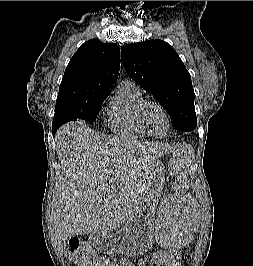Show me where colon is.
<instances>
[{
  "instance_id": "5ec220e1",
  "label": "colon",
  "mask_w": 253,
  "mask_h": 266,
  "mask_svg": "<svg viewBox=\"0 0 253 266\" xmlns=\"http://www.w3.org/2000/svg\"><path fill=\"white\" fill-rule=\"evenodd\" d=\"M69 260L77 266H121L118 263L98 255L85 241L72 238L66 251ZM147 262L141 266H146ZM148 266H181L180 255L174 251L156 252L150 259Z\"/></svg>"
}]
</instances>
